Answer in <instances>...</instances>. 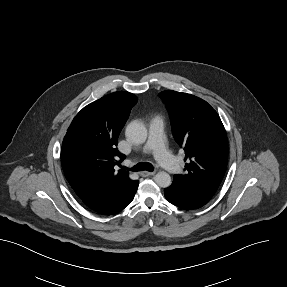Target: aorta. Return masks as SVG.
<instances>
[{
    "instance_id": "obj_1",
    "label": "aorta",
    "mask_w": 287,
    "mask_h": 287,
    "mask_svg": "<svg viewBox=\"0 0 287 287\" xmlns=\"http://www.w3.org/2000/svg\"><path fill=\"white\" fill-rule=\"evenodd\" d=\"M125 135L128 140L135 144H143L147 139V128L139 121H133L126 127ZM154 180L156 184L162 188L169 187L171 185V176L165 172H158Z\"/></svg>"
}]
</instances>
